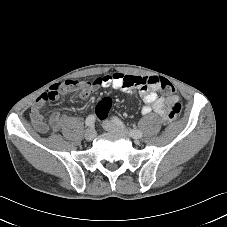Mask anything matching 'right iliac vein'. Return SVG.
<instances>
[{"mask_svg":"<svg viewBox=\"0 0 227 227\" xmlns=\"http://www.w3.org/2000/svg\"><path fill=\"white\" fill-rule=\"evenodd\" d=\"M96 136V132L93 128H89L85 132V139L87 141H92Z\"/></svg>","mask_w":227,"mask_h":227,"instance_id":"63e3f726","label":"right iliac vein"}]
</instances>
